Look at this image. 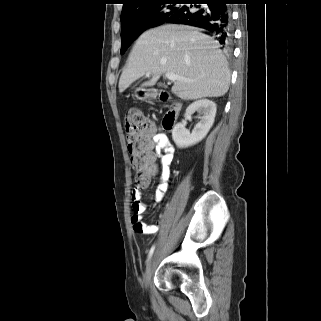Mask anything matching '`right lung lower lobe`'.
Returning <instances> with one entry per match:
<instances>
[{
  "mask_svg": "<svg viewBox=\"0 0 321 321\" xmlns=\"http://www.w3.org/2000/svg\"><path fill=\"white\" fill-rule=\"evenodd\" d=\"M231 0H186L165 23L186 24L204 28L214 35L223 46L231 43V18L227 4Z\"/></svg>",
  "mask_w": 321,
  "mask_h": 321,
  "instance_id": "1",
  "label": "right lung lower lobe"
}]
</instances>
